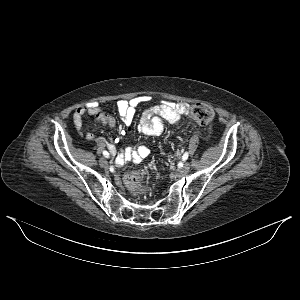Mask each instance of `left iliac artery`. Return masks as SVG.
<instances>
[{
  "label": "left iliac artery",
  "instance_id": "44dca946",
  "mask_svg": "<svg viewBox=\"0 0 300 300\" xmlns=\"http://www.w3.org/2000/svg\"><path fill=\"white\" fill-rule=\"evenodd\" d=\"M188 159V152H185L182 156V160L185 161Z\"/></svg>",
  "mask_w": 300,
  "mask_h": 300
}]
</instances>
